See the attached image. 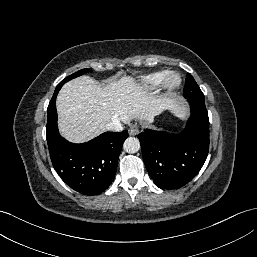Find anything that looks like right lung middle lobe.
Wrapping results in <instances>:
<instances>
[{"mask_svg":"<svg viewBox=\"0 0 257 257\" xmlns=\"http://www.w3.org/2000/svg\"><path fill=\"white\" fill-rule=\"evenodd\" d=\"M90 71H91V69H82V70L77 71L76 73H74V74H72V75L66 77L65 79H63V80L57 85V87H56L55 90H59V89L63 86V84H64L65 82H67V81H69V80H71V79H73V78H76V77H78V76H81L82 74H84V73H86V72H90Z\"/></svg>","mask_w":257,"mask_h":257,"instance_id":"1","label":"right lung middle lobe"}]
</instances>
